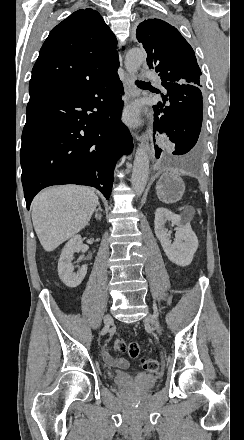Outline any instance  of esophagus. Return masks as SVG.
<instances>
[{"label":"esophagus","instance_id":"obj_1","mask_svg":"<svg viewBox=\"0 0 244 440\" xmlns=\"http://www.w3.org/2000/svg\"><path fill=\"white\" fill-rule=\"evenodd\" d=\"M123 86L127 101L133 100L135 98V95L133 94V90H134L133 77L127 72H124L123 74ZM141 112L147 118V125L142 132H137V131L134 132V136L135 138L140 140V142L146 147V149L149 152L150 158H153L154 144L150 130L148 111L146 107H142Z\"/></svg>","mask_w":244,"mask_h":440}]
</instances>
